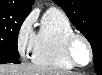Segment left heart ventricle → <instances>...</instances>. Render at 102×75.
I'll return each instance as SVG.
<instances>
[{
  "mask_svg": "<svg viewBox=\"0 0 102 75\" xmlns=\"http://www.w3.org/2000/svg\"><path fill=\"white\" fill-rule=\"evenodd\" d=\"M75 56L80 63H85L87 61V49L82 41H78L75 45Z\"/></svg>",
  "mask_w": 102,
  "mask_h": 75,
  "instance_id": "1",
  "label": "left heart ventricle"
}]
</instances>
